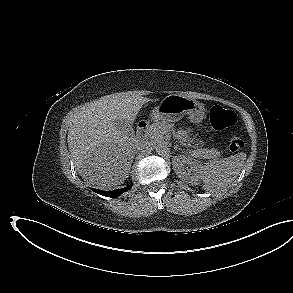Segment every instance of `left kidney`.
I'll return each mask as SVG.
<instances>
[{
  "label": "left kidney",
  "mask_w": 293,
  "mask_h": 293,
  "mask_svg": "<svg viewBox=\"0 0 293 293\" xmlns=\"http://www.w3.org/2000/svg\"><path fill=\"white\" fill-rule=\"evenodd\" d=\"M172 164L176 174L183 181L192 183L198 180V174L202 168V165L191 156H175L172 160Z\"/></svg>",
  "instance_id": "left-kidney-1"
}]
</instances>
